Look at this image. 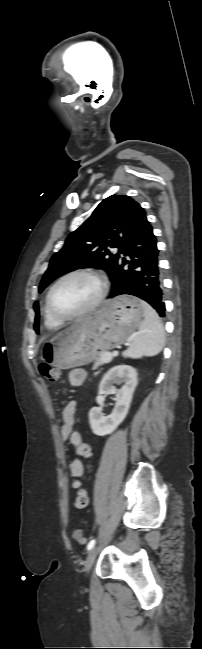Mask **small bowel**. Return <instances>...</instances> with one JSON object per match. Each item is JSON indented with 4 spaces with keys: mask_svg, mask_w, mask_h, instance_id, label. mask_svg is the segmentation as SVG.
Instances as JSON below:
<instances>
[{
    "mask_svg": "<svg viewBox=\"0 0 202 649\" xmlns=\"http://www.w3.org/2000/svg\"><path fill=\"white\" fill-rule=\"evenodd\" d=\"M86 371L81 368L73 369L69 373V382L73 386H80L84 383ZM76 402L67 403L61 414L62 424L60 427V437L63 443L69 442L73 450V459L69 463V473L73 479V486L78 489L74 499L76 508H84L88 503V496L84 489L81 488V478L84 474L82 458L89 457L91 448L82 441L81 434L74 430ZM63 449V456L65 455Z\"/></svg>",
    "mask_w": 202,
    "mask_h": 649,
    "instance_id": "small-bowel-1",
    "label": "small bowel"
}]
</instances>
